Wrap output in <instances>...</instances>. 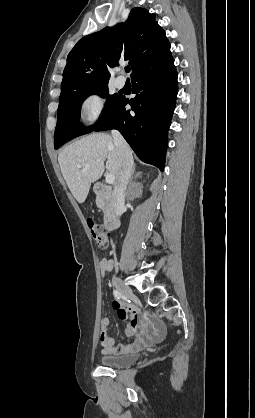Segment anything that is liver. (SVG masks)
Wrapping results in <instances>:
<instances>
[{"label":"liver","instance_id":"obj_1","mask_svg":"<svg viewBox=\"0 0 255 418\" xmlns=\"http://www.w3.org/2000/svg\"><path fill=\"white\" fill-rule=\"evenodd\" d=\"M105 161L107 171L117 180L118 153L113 138L106 133L85 136L60 152L58 162L62 175L80 204L86 200L91 183L102 176Z\"/></svg>","mask_w":255,"mask_h":418}]
</instances>
